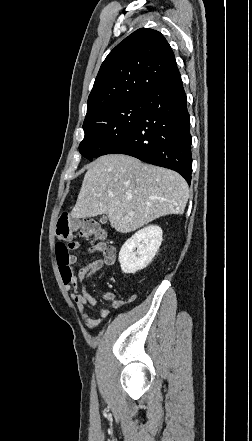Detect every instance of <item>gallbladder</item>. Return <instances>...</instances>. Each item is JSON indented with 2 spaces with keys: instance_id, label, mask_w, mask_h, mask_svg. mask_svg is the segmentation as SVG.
<instances>
[{
  "instance_id": "gallbladder-1",
  "label": "gallbladder",
  "mask_w": 252,
  "mask_h": 441,
  "mask_svg": "<svg viewBox=\"0 0 252 441\" xmlns=\"http://www.w3.org/2000/svg\"><path fill=\"white\" fill-rule=\"evenodd\" d=\"M107 221H108V218H107L106 216H103V217L100 218V222H101L102 224L107 223Z\"/></svg>"
}]
</instances>
